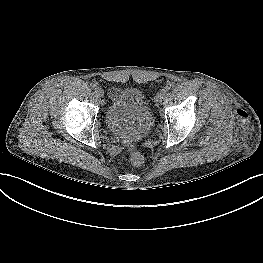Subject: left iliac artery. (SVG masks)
<instances>
[{"label": "left iliac artery", "instance_id": "44dca946", "mask_svg": "<svg viewBox=\"0 0 263 263\" xmlns=\"http://www.w3.org/2000/svg\"><path fill=\"white\" fill-rule=\"evenodd\" d=\"M168 94V91L166 89H163L160 91V96L165 97Z\"/></svg>", "mask_w": 263, "mask_h": 263}]
</instances>
